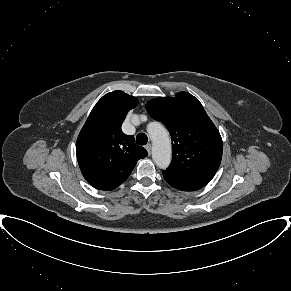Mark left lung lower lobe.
Returning <instances> with one entry per match:
<instances>
[{
    "instance_id": "0a47b994",
    "label": "left lung lower lobe",
    "mask_w": 291,
    "mask_h": 291,
    "mask_svg": "<svg viewBox=\"0 0 291 291\" xmlns=\"http://www.w3.org/2000/svg\"><path fill=\"white\" fill-rule=\"evenodd\" d=\"M164 179L172 187L182 190V191H196L204 187L207 183L202 181H196L173 175L167 171H162Z\"/></svg>"
}]
</instances>
